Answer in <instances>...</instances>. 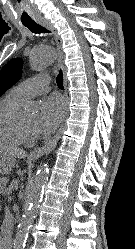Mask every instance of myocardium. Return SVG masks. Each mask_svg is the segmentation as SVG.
<instances>
[{"instance_id": "f54148a6", "label": "myocardium", "mask_w": 135, "mask_h": 249, "mask_svg": "<svg viewBox=\"0 0 135 249\" xmlns=\"http://www.w3.org/2000/svg\"><path fill=\"white\" fill-rule=\"evenodd\" d=\"M15 127L23 141L30 142L36 139V134L27 130L21 123L20 113H17L15 117Z\"/></svg>"}]
</instances>
